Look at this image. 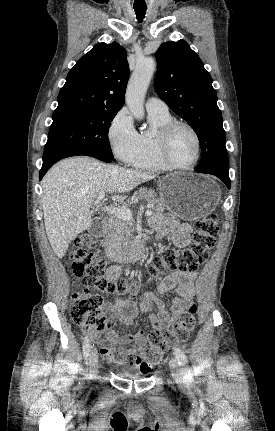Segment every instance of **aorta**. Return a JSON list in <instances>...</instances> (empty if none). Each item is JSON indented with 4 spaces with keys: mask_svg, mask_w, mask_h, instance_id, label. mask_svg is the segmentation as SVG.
<instances>
[{
    "mask_svg": "<svg viewBox=\"0 0 275 431\" xmlns=\"http://www.w3.org/2000/svg\"><path fill=\"white\" fill-rule=\"evenodd\" d=\"M155 68L156 63L153 58L149 57L138 61L128 82L126 104L137 120L144 118V98Z\"/></svg>",
    "mask_w": 275,
    "mask_h": 431,
    "instance_id": "762f6f07",
    "label": "aorta"
}]
</instances>
